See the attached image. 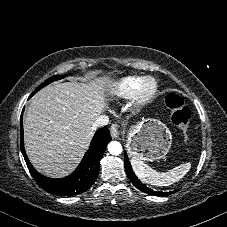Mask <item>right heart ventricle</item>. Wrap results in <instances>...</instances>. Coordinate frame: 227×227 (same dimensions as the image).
<instances>
[{
    "instance_id": "e07e8e85",
    "label": "right heart ventricle",
    "mask_w": 227,
    "mask_h": 227,
    "mask_svg": "<svg viewBox=\"0 0 227 227\" xmlns=\"http://www.w3.org/2000/svg\"><path fill=\"white\" fill-rule=\"evenodd\" d=\"M142 78L139 76H129L122 79L113 88V94L120 98L129 97L133 94Z\"/></svg>"
}]
</instances>
